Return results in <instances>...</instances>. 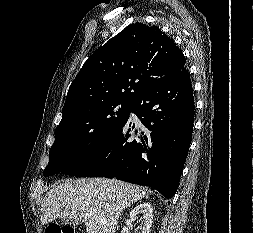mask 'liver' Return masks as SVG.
<instances>
[{"mask_svg":"<svg viewBox=\"0 0 253 233\" xmlns=\"http://www.w3.org/2000/svg\"><path fill=\"white\" fill-rule=\"evenodd\" d=\"M146 192L145 188L116 179H67L45 195L41 223L57 218L81 220L87 233H115L123 210L144 198Z\"/></svg>","mask_w":253,"mask_h":233,"instance_id":"6515ba94","label":"liver"}]
</instances>
